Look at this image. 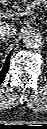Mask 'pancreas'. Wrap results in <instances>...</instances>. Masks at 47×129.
<instances>
[{
  "label": "pancreas",
  "instance_id": "pancreas-1",
  "mask_svg": "<svg viewBox=\"0 0 47 129\" xmlns=\"http://www.w3.org/2000/svg\"><path fill=\"white\" fill-rule=\"evenodd\" d=\"M36 4H46V0H35Z\"/></svg>",
  "mask_w": 47,
  "mask_h": 129
}]
</instances>
